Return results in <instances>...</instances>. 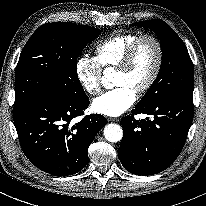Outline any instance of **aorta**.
<instances>
[{
    "label": "aorta",
    "mask_w": 206,
    "mask_h": 206,
    "mask_svg": "<svg viewBox=\"0 0 206 206\" xmlns=\"http://www.w3.org/2000/svg\"><path fill=\"white\" fill-rule=\"evenodd\" d=\"M108 79H109V73H105V75L103 76V79H102L103 85H105V86L107 85ZM104 136H105L107 141L112 142V143H116L122 139L123 130L119 125L114 124V123H110V124L106 125L104 128Z\"/></svg>",
    "instance_id": "aorta-1"
}]
</instances>
